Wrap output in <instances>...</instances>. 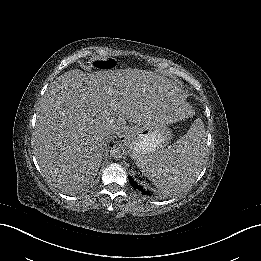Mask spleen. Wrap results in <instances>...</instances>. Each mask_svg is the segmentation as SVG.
I'll list each match as a JSON object with an SVG mask.
<instances>
[{"mask_svg":"<svg viewBox=\"0 0 261 261\" xmlns=\"http://www.w3.org/2000/svg\"><path fill=\"white\" fill-rule=\"evenodd\" d=\"M200 161V134L191 128L176 144L138 161L137 166L161 192L168 193L179 191Z\"/></svg>","mask_w":261,"mask_h":261,"instance_id":"obj_1","label":"spleen"}]
</instances>
